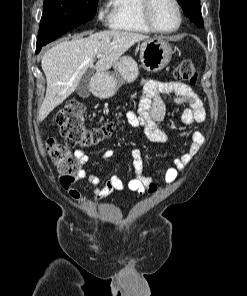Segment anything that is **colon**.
<instances>
[{
	"mask_svg": "<svg viewBox=\"0 0 247 296\" xmlns=\"http://www.w3.org/2000/svg\"><path fill=\"white\" fill-rule=\"evenodd\" d=\"M174 77L179 81L195 85L198 74L191 61L183 60L176 67ZM56 123L65 140V145L51 140L48 151L58 169L62 186L67 187L74 183L80 168L78 158L70 152L69 148L83 149L98 144L111 135L114 124L108 122L99 127L89 128L85 121V107L79 101L66 103L57 112Z\"/></svg>",
	"mask_w": 247,
	"mask_h": 296,
	"instance_id": "colon-1",
	"label": "colon"
}]
</instances>
